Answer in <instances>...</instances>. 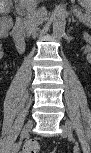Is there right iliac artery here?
<instances>
[{
	"label": "right iliac artery",
	"mask_w": 91,
	"mask_h": 153,
	"mask_svg": "<svg viewBox=\"0 0 91 153\" xmlns=\"http://www.w3.org/2000/svg\"><path fill=\"white\" fill-rule=\"evenodd\" d=\"M19 145H20V142H19V143H17L15 146H19ZM15 146H14V147H15Z\"/></svg>",
	"instance_id": "82829eb1"
}]
</instances>
